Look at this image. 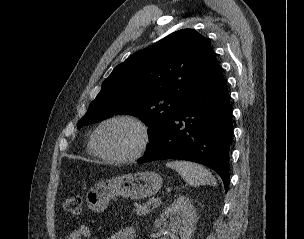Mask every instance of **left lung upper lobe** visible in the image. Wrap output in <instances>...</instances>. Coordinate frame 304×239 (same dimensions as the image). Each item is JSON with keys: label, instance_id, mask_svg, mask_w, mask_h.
I'll return each instance as SVG.
<instances>
[{"label": "left lung upper lobe", "instance_id": "obj_1", "mask_svg": "<svg viewBox=\"0 0 304 239\" xmlns=\"http://www.w3.org/2000/svg\"><path fill=\"white\" fill-rule=\"evenodd\" d=\"M216 62L204 36L193 29L176 31L116 66L78 128L116 114H130L149 126L153 143Z\"/></svg>", "mask_w": 304, "mask_h": 239}]
</instances>
